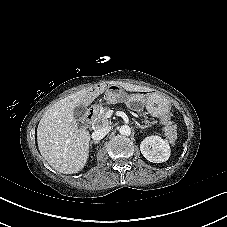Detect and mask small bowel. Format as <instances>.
Instances as JSON below:
<instances>
[{
	"label": "small bowel",
	"instance_id": "1",
	"mask_svg": "<svg viewBox=\"0 0 227 227\" xmlns=\"http://www.w3.org/2000/svg\"><path fill=\"white\" fill-rule=\"evenodd\" d=\"M167 121V117H163L162 119H161V122L162 123H164V122H166Z\"/></svg>",
	"mask_w": 227,
	"mask_h": 227
}]
</instances>
